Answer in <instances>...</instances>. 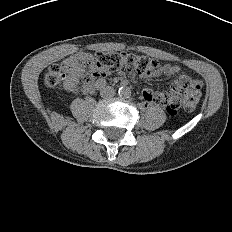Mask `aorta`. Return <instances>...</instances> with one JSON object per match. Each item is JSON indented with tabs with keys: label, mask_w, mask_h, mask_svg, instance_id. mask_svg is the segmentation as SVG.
<instances>
[{
	"label": "aorta",
	"mask_w": 232,
	"mask_h": 232,
	"mask_svg": "<svg viewBox=\"0 0 232 232\" xmlns=\"http://www.w3.org/2000/svg\"><path fill=\"white\" fill-rule=\"evenodd\" d=\"M118 93L121 97H129L131 96V89L128 86H121Z\"/></svg>",
	"instance_id": "1"
}]
</instances>
